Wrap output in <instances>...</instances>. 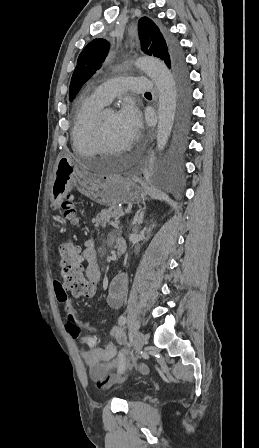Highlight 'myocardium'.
Wrapping results in <instances>:
<instances>
[{
	"instance_id": "1",
	"label": "myocardium",
	"mask_w": 259,
	"mask_h": 448,
	"mask_svg": "<svg viewBox=\"0 0 259 448\" xmlns=\"http://www.w3.org/2000/svg\"><path fill=\"white\" fill-rule=\"evenodd\" d=\"M105 114L106 111H100L96 118V142L99 148L101 155L107 153H114L117 150L109 143L106 128H105ZM75 156H78V163H86L84 158L75 152ZM99 171H105L100 170Z\"/></svg>"
}]
</instances>
